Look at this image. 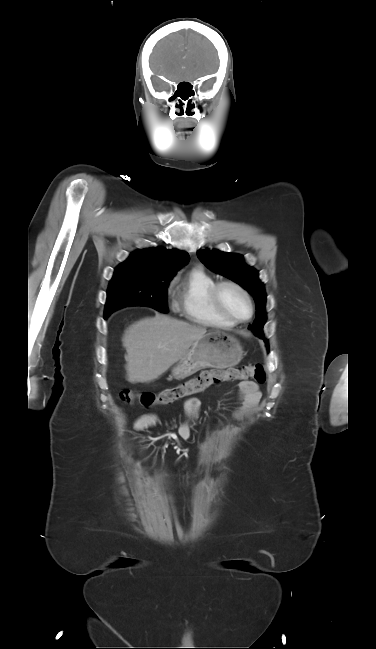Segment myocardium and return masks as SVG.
<instances>
[{
	"instance_id": "myocardium-1",
	"label": "myocardium",
	"mask_w": 376,
	"mask_h": 649,
	"mask_svg": "<svg viewBox=\"0 0 376 649\" xmlns=\"http://www.w3.org/2000/svg\"><path fill=\"white\" fill-rule=\"evenodd\" d=\"M227 287L235 289L247 301L248 306H249V314H248L247 317L238 318V317H235L234 315H232L228 311V309L226 308V306L224 304L223 298H222V291H223L224 288H227ZM212 299H213L217 309L219 310V312L226 319L233 322L234 324L243 323V322H246V321L250 320L253 313H254V304H253V300H252L249 292L242 285L237 283L236 281L223 280V281L216 282V284L214 285V287L212 289Z\"/></svg>"
}]
</instances>
